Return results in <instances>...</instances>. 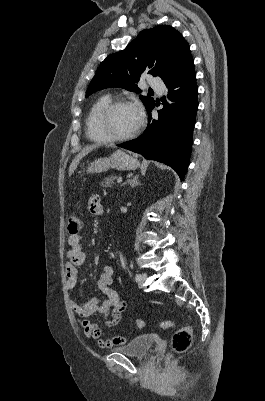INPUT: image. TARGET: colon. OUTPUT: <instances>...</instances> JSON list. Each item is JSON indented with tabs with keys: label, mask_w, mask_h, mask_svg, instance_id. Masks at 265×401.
Here are the masks:
<instances>
[{
	"label": "colon",
	"mask_w": 265,
	"mask_h": 401,
	"mask_svg": "<svg viewBox=\"0 0 265 401\" xmlns=\"http://www.w3.org/2000/svg\"><path fill=\"white\" fill-rule=\"evenodd\" d=\"M82 227V220L79 215L77 214H71L68 217V232L71 235L77 234ZM136 327L138 329H141L144 327V321L143 320H136L135 323ZM161 328L162 329H169L173 326L172 321H164L161 323ZM192 329L188 326L182 327L178 329L172 336L171 339V349L175 353H183L186 352L192 343Z\"/></svg>",
	"instance_id": "colon-1"
}]
</instances>
